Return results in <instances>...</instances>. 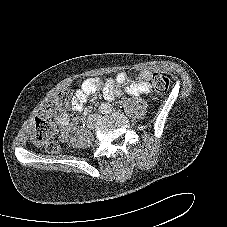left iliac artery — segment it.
<instances>
[{"mask_svg": "<svg viewBox=\"0 0 227 227\" xmlns=\"http://www.w3.org/2000/svg\"><path fill=\"white\" fill-rule=\"evenodd\" d=\"M108 111H111V107L108 108Z\"/></svg>", "mask_w": 227, "mask_h": 227, "instance_id": "1", "label": "left iliac artery"}]
</instances>
